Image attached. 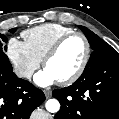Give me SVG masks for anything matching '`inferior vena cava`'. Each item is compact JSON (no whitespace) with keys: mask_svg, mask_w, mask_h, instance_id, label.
<instances>
[{"mask_svg":"<svg viewBox=\"0 0 119 119\" xmlns=\"http://www.w3.org/2000/svg\"><path fill=\"white\" fill-rule=\"evenodd\" d=\"M15 73L18 77L31 78L33 71H31V70H16Z\"/></svg>","mask_w":119,"mask_h":119,"instance_id":"obj_1","label":"inferior vena cava"}]
</instances>
